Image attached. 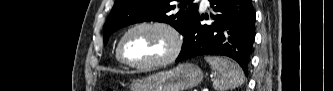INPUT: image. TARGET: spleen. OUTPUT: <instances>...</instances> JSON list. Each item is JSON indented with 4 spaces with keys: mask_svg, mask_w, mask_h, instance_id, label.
<instances>
[{
    "mask_svg": "<svg viewBox=\"0 0 333 91\" xmlns=\"http://www.w3.org/2000/svg\"><path fill=\"white\" fill-rule=\"evenodd\" d=\"M204 58L217 72V77L213 82L215 91H228L243 84L244 73L237 63L214 56H205Z\"/></svg>",
    "mask_w": 333,
    "mask_h": 91,
    "instance_id": "spleen-1",
    "label": "spleen"
}]
</instances>
